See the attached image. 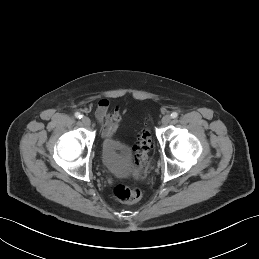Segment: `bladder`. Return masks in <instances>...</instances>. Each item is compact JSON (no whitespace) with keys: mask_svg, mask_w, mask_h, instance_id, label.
Masks as SVG:
<instances>
[{"mask_svg":"<svg viewBox=\"0 0 259 259\" xmlns=\"http://www.w3.org/2000/svg\"><path fill=\"white\" fill-rule=\"evenodd\" d=\"M100 158L103 166L114 175H123L130 170V147L119 139L106 138L101 146Z\"/></svg>","mask_w":259,"mask_h":259,"instance_id":"obj_1","label":"bladder"}]
</instances>
